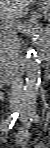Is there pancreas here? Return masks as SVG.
Listing matches in <instances>:
<instances>
[{
    "mask_svg": "<svg viewBox=\"0 0 50 148\" xmlns=\"http://www.w3.org/2000/svg\"><path fill=\"white\" fill-rule=\"evenodd\" d=\"M40 35H41V36H44L43 33H40ZM42 39H43L42 37L39 38V42H40V43L42 42ZM17 45H18V43H17Z\"/></svg>",
    "mask_w": 50,
    "mask_h": 148,
    "instance_id": "1",
    "label": "pancreas"
}]
</instances>
